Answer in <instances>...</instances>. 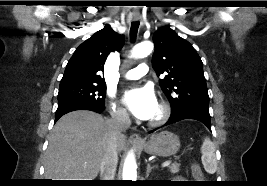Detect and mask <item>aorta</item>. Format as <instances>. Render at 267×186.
<instances>
[{"mask_svg": "<svg viewBox=\"0 0 267 186\" xmlns=\"http://www.w3.org/2000/svg\"><path fill=\"white\" fill-rule=\"evenodd\" d=\"M153 50V44L150 41H144L137 44L132 50L133 58H144L149 55ZM122 180L137 179V165L133 153H129L126 157L123 167Z\"/></svg>", "mask_w": 267, "mask_h": 186, "instance_id": "obj_1", "label": "aorta"}]
</instances>
